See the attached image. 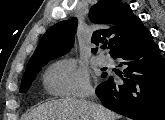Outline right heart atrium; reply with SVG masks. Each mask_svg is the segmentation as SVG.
<instances>
[{"instance_id": "obj_1", "label": "right heart atrium", "mask_w": 165, "mask_h": 120, "mask_svg": "<svg viewBox=\"0 0 165 120\" xmlns=\"http://www.w3.org/2000/svg\"><path fill=\"white\" fill-rule=\"evenodd\" d=\"M45 86L55 95L86 97L91 91L87 71L73 59H63L54 63L45 74Z\"/></svg>"}]
</instances>
